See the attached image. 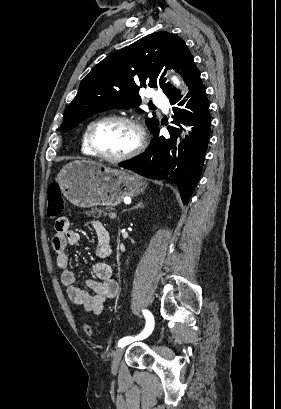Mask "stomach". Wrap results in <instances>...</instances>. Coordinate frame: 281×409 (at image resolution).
<instances>
[{
  "label": "stomach",
  "instance_id": "obj_1",
  "mask_svg": "<svg viewBox=\"0 0 281 409\" xmlns=\"http://www.w3.org/2000/svg\"><path fill=\"white\" fill-rule=\"evenodd\" d=\"M56 180L67 200L82 209L115 207L124 196H136L146 188L141 176L96 160H72L59 170Z\"/></svg>",
  "mask_w": 281,
  "mask_h": 409
}]
</instances>
